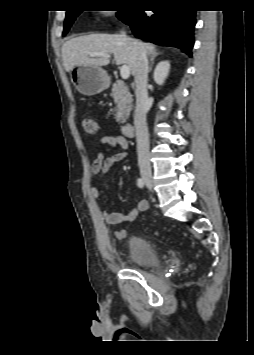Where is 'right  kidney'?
<instances>
[{
    "label": "right kidney",
    "instance_id": "obj_1",
    "mask_svg": "<svg viewBox=\"0 0 254 355\" xmlns=\"http://www.w3.org/2000/svg\"><path fill=\"white\" fill-rule=\"evenodd\" d=\"M170 70V62L169 61H161L157 64L154 73H153V79L154 81L162 85L168 76Z\"/></svg>",
    "mask_w": 254,
    "mask_h": 355
}]
</instances>
